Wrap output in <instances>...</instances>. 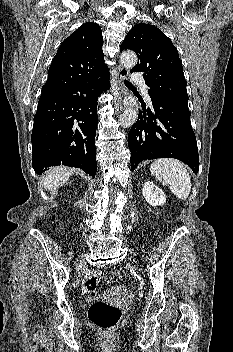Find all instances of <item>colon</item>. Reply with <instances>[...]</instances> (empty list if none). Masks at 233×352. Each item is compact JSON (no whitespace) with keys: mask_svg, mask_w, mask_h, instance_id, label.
Returning a JSON list of instances; mask_svg holds the SVG:
<instances>
[{"mask_svg":"<svg viewBox=\"0 0 233 352\" xmlns=\"http://www.w3.org/2000/svg\"><path fill=\"white\" fill-rule=\"evenodd\" d=\"M98 282L99 274L97 272L88 275L83 283V292L86 295H93L96 292ZM121 317L122 311L119 307L103 300L93 302L88 311L90 322L102 331L114 329Z\"/></svg>","mask_w":233,"mask_h":352,"instance_id":"obj_1","label":"colon"}]
</instances>
